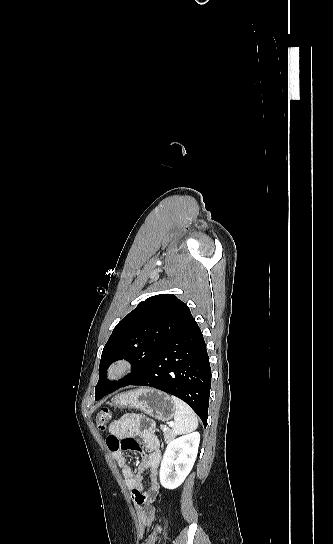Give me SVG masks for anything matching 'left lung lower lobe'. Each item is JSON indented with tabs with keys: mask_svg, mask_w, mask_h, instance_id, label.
I'll return each mask as SVG.
<instances>
[{
	"mask_svg": "<svg viewBox=\"0 0 333 544\" xmlns=\"http://www.w3.org/2000/svg\"><path fill=\"white\" fill-rule=\"evenodd\" d=\"M128 385L150 386L185 401L207 425L211 368L202 332L191 315ZM109 393H99V400Z\"/></svg>",
	"mask_w": 333,
	"mask_h": 544,
	"instance_id": "obj_1",
	"label": "left lung lower lobe"
}]
</instances>
